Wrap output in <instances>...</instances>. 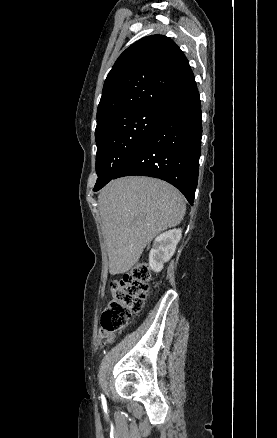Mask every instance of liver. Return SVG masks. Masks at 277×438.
Returning <instances> with one entry per match:
<instances>
[{"label":"liver","instance_id":"1","mask_svg":"<svg viewBox=\"0 0 277 438\" xmlns=\"http://www.w3.org/2000/svg\"><path fill=\"white\" fill-rule=\"evenodd\" d=\"M109 272L126 274L155 236L182 222L186 204L171 184L128 176L109 182L98 196Z\"/></svg>","mask_w":277,"mask_h":438}]
</instances>
